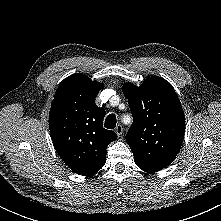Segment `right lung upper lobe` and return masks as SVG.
Returning a JSON list of instances; mask_svg holds the SVG:
<instances>
[{
	"instance_id": "obj_1",
	"label": "right lung upper lobe",
	"mask_w": 221,
	"mask_h": 221,
	"mask_svg": "<svg viewBox=\"0 0 221 221\" xmlns=\"http://www.w3.org/2000/svg\"><path fill=\"white\" fill-rule=\"evenodd\" d=\"M103 84L77 73L65 78L57 88L49 113L54 147L69 168L90 176L106 162V148L117 138L102 126L105 109L95 98Z\"/></svg>"
}]
</instances>
